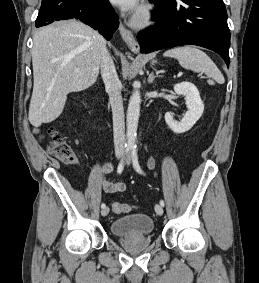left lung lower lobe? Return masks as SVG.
<instances>
[{
  "instance_id": "1",
  "label": "left lung lower lobe",
  "mask_w": 259,
  "mask_h": 283,
  "mask_svg": "<svg viewBox=\"0 0 259 283\" xmlns=\"http://www.w3.org/2000/svg\"><path fill=\"white\" fill-rule=\"evenodd\" d=\"M155 26L137 35L142 53L198 45L218 53L229 66L230 31L223 0H150Z\"/></svg>"
}]
</instances>
